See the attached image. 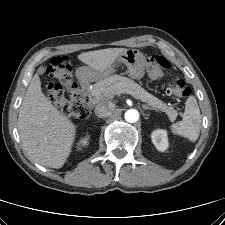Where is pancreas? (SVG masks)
<instances>
[{"instance_id":"1","label":"pancreas","mask_w":225,"mask_h":225,"mask_svg":"<svg viewBox=\"0 0 225 225\" xmlns=\"http://www.w3.org/2000/svg\"><path fill=\"white\" fill-rule=\"evenodd\" d=\"M125 90L132 92L138 99L146 102L152 108L160 109L165 112L170 121H174L177 118V112L173 107L166 105L164 102L145 91L133 80L121 75H113L96 83L90 91V95L96 100H105L112 99L115 95H120Z\"/></svg>"}]
</instances>
